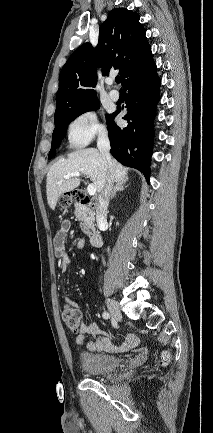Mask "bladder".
Segmentation results:
<instances>
[{
	"mask_svg": "<svg viewBox=\"0 0 213 433\" xmlns=\"http://www.w3.org/2000/svg\"><path fill=\"white\" fill-rule=\"evenodd\" d=\"M121 363L117 356L84 351L80 354V365L82 370L91 376H104L115 371Z\"/></svg>",
	"mask_w": 213,
	"mask_h": 433,
	"instance_id": "bladder-1",
	"label": "bladder"
}]
</instances>
